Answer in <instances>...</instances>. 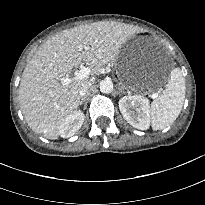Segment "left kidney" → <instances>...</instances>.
<instances>
[{"mask_svg": "<svg viewBox=\"0 0 205 205\" xmlns=\"http://www.w3.org/2000/svg\"><path fill=\"white\" fill-rule=\"evenodd\" d=\"M119 109L134 128L147 130L150 125L149 100L140 95H128L119 100Z\"/></svg>", "mask_w": 205, "mask_h": 205, "instance_id": "left-kidney-1", "label": "left kidney"}]
</instances>
